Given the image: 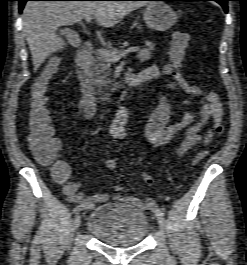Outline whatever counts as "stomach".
Listing matches in <instances>:
<instances>
[{"label":"stomach","mask_w":247,"mask_h":265,"mask_svg":"<svg viewBox=\"0 0 247 265\" xmlns=\"http://www.w3.org/2000/svg\"><path fill=\"white\" fill-rule=\"evenodd\" d=\"M147 26L156 31H166L177 22V14L164 2H152L143 11Z\"/></svg>","instance_id":"0dacf381"}]
</instances>
